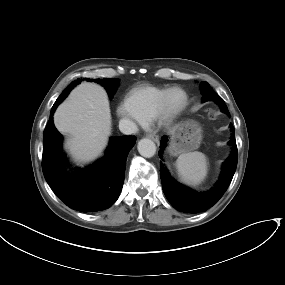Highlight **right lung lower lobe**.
I'll list each match as a JSON object with an SVG mask.
<instances>
[{"mask_svg":"<svg viewBox=\"0 0 285 285\" xmlns=\"http://www.w3.org/2000/svg\"><path fill=\"white\" fill-rule=\"evenodd\" d=\"M71 90L66 88L51 109L50 120L43 134V174L53 192L68 207L85 213L101 211L111 207L120 195L126 159L136 137L111 138L103 158L69 174L61 146L62 136L54 126L53 114Z\"/></svg>","mask_w":285,"mask_h":285,"instance_id":"obj_1","label":"right lung lower lobe"}]
</instances>
